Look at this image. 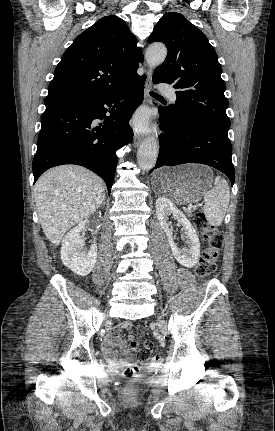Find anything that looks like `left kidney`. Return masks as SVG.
Instances as JSON below:
<instances>
[{
	"mask_svg": "<svg viewBox=\"0 0 275 431\" xmlns=\"http://www.w3.org/2000/svg\"><path fill=\"white\" fill-rule=\"evenodd\" d=\"M156 214L161 228L166 233L173 256L181 265L187 268L195 266L200 257V242L192 224L170 200L164 197L156 200ZM171 214L183 226L189 249H180L174 242L173 229L169 228L168 224V216Z\"/></svg>",
	"mask_w": 275,
	"mask_h": 431,
	"instance_id": "left-kidney-1",
	"label": "left kidney"
}]
</instances>
